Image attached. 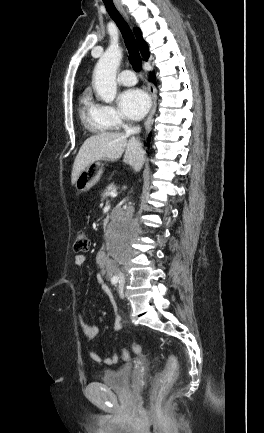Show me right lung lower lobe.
Returning a JSON list of instances; mask_svg holds the SVG:
<instances>
[{"label":"right lung lower lobe","mask_w":264,"mask_h":433,"mask_svg":"<svg viewBox=\"0 0 264 433\" xmlns=\"http://www.w3.org/2000/svg\"><path fill=\"white\" fill-rule=\"evenodd\" d=\"M153 77H154V75H153ZM150 136H151V134H150L149 137H148V142H149V140H150Z\"/></svg>","instance_id":"right-lung-lower-lobe-1"}]
</instances>
